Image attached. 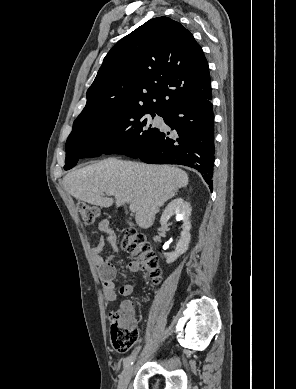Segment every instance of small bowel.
<instances>
[{
	"label": "small bowel",
	"instance_id": "obj_1",
	"mask_svg": "<svg viewBox=\"0 0 296 389\" xmlns=\"http://www.w3.org/2000/svg\"><path fill=\"white\" fill-rule=\"evenodd\" d=\"M98 229L103 236L99 238L97 244L92 248L93 261L98 268L106 299L115 302L118 296L115 284L116 268L103 257V251L106 246L114 247V237L106 220H102L98 224ZM128 269L133 273H137L140 270V264L136 261H131L128 264ZM133 291L134 284L132 283L124 284L119 288V294L125 297L130 296ZM119 309L132 311L133 303L129 300H123L119 303Z\"/></svg>",
	"mask_w": 296,
	"mask_h": 389
}]
</instances>
